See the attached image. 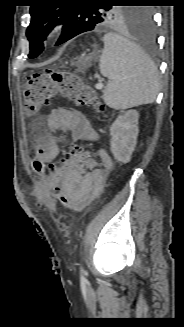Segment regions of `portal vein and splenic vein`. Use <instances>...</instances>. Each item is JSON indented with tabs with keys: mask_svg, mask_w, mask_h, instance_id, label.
<instances>
[{
	"mask_svg": "<svg viewBox=\"0 0 184 327\" xmlns=\"http://www.w3.org/2000/svg\"><path fill=\"white\" fill-rule=\"evenodd\" d=\"M102 88H103V84H102V83H98V84L96 85V89L100 90V89H102Z\"/></svg>",
	"mask_w": 184,
	"mask_h": 327,
	"instance_id": "18ae733b",
	"label": "portal vein and splenic vein"
}]
</instances>
